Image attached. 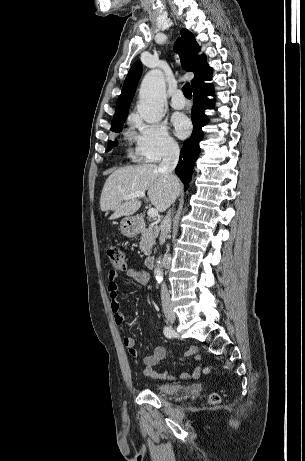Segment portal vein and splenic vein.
<instances>
[{
  "label": "portal vein and splenic vein",
  "mask_w": 305,
  "mask_h": 461,
  "mask_svg": "<svg viewBox=\"0 0 305 461\" xmlns=\"http://www.w3.org/2000/svg\"><path fill=\"white\" fill-rule=\"evenodd\" d=\"M144 197H145L144 192L137 191V192L125 195L123 199L127 201V200H131L134 198H144ZM147 214L150 218H155L158 216V210L156 208H149Z\"/></svg>",
  "instance_id": "18ae733b"
}]
</instances>
